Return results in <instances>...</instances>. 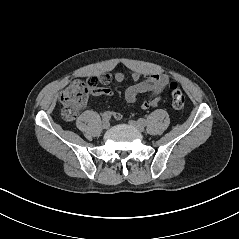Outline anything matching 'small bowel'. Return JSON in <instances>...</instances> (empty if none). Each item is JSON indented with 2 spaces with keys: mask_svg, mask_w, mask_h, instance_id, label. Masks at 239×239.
Segmentation results:
<instances>
[{
  "mask_svg": "<svg viewBox=\"0 0 239 239\" xmlns=\"http://www.w3.org/2000/svg\"><path fill=\"white\" fill-rule=\"evenodd\" d=\"M98 82L102 84L109 83L112 79L117 82H124L131 80L135 84L128 87L125 91V100L128 103L135 104L140 103L142 109H148L155 107L162 99V93L169 83V78L166 74L150 73L147 74L143 80H141V74L139 72H132L129 75L123 72H116L113 76L111 74H103L100 77H95ZM91 93L94 96H110L111 90L105 87L94 86L91 89ZM147 93L148 96L140 99L139 94ZM116 119L121 118V114L114 113Z\"/></svg>",
  "mask_w": 239,
  "mask_h": 239,
  "instance_id": "small-bowel-1",
  "label": "small bowel"
}]
</instances>
